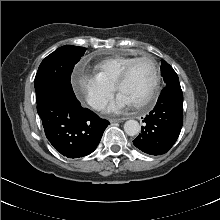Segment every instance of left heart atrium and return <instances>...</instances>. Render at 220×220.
Listing matches in <instances>:
<instances>
[{
  "label": "left heart atrium",
  "instance_id": "1",
  "mask_svg": "<svg viewBox=\"0 0 220 220\" xmlns=\"http://www.w3.org/2000/svg\"><path fill=\"white\" fill-rule=\"evenodd\" d=\"M132 103L130 100L123 94H118L115 100H113L109 106L106 108L107 112H120L127 106H130Z\"/></svg>",
  "mask_w": 220,
  "mask_h": 220
}]
</instances>
